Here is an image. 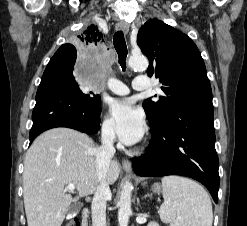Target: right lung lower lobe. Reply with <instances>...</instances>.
<instances>
[{
	"mask_svg": "<svg viewBox=\"0 0 247 226\" xmlns=\"http://www.w3.org/2000/svg\"><path fill=\"white\" fill-rule=\"evenodd\" d=\"M100 102L82 92L75 78L57 62H49L36 93L30 143L43 131L68 127L95 134L100 129Z\"/></svg>",
	"mask_w": 247,
	"mask_h": 226,
	"instance_id": "1",
	"label": "right lung lower lobe"
}]
</instances>
